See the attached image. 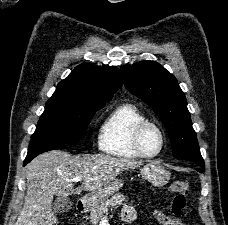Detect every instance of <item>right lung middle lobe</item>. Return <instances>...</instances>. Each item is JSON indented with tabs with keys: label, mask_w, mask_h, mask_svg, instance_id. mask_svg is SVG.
<instances>
[{
	"label": "right lung middle lobe",
	"mask_w": 228,
	"mask_h": 225,
	"mask_svg": "<svg viewBox=\"0 0 228 225\" xmlns=\"http://www.w3.org/2000/svg\"><path fill=\"white\" fill-rule=\"evenodd\" d=\"M105 104L50 98L31 137L29 149L46 144H75L81 140L95 112Z\"/></svg>",
	"instance_id": "dd1d6c3e"
}]
</instances>
